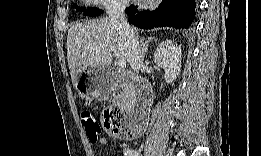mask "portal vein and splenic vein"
Listing matches in <instances>:
<instances>
[{
    "label": "portal vein and splenic vein",
    "instance_id": "portal-vein-and-splenic-vein-1",
    "mask_svg": "<svg viewBox=\"0 0 261 156\" xmlns=\"http://www.w3.org/2000/svg\"><path fill=\"white\" fill-rule=\"evenodd\" d=\"M118 65L120 68H124L126 66V60L125 59H118Z\"/></svg>",
    "mask_w": 261,
    "mask_h": 156
}]
</instances>
